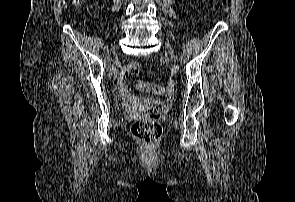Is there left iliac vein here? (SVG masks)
Masks as SVG:
<instances>
[{
    "mask_svg": "<svg viewBox=\"0 0 295 202\" xmlns=\"http://www.w3.org/2000/svg\"><path fill=\"white\" fill-rule=\"evenodd\" d=\"M169 51H170V55H171L172 59L175 61L174 53L170 47H169Z\"/></svg>",
    "mask_w": 295,
    "mask_h": 202,
    "instance_id": "obj_1",
    "label": "left iliac vein"
}]
</instances>
